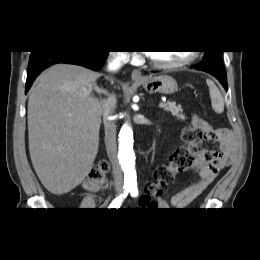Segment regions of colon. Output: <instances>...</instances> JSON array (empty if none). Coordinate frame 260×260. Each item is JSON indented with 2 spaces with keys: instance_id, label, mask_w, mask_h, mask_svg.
<instances>
[{
  "instance_id": "1",
  "label": "colon",
  "mask_w": 260,
  "mask_h": 260,
  "mask_svg": "<svg viewBox=\"0 0 260 260\" xmlns=\"http://www.w3.org/2000/svg\"><path fill=\"white\" fill-rule=\"evenodd\" d=\"M203 138V133L193 124L184 130L183 140L185 145L171 155L169 163L160 165L155 169L153 179L146 187L144 196L150 200V203H153L151 197L159 196L162 189L173 182L177 173L188 169L193 164L195 156L199 152L198 145ZM108 170V162L100 161L90 171L85 188L94 191L106 187Z\"/></svg>"
}]
</instances>
